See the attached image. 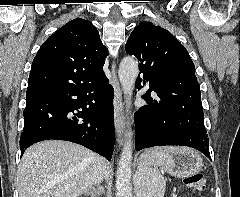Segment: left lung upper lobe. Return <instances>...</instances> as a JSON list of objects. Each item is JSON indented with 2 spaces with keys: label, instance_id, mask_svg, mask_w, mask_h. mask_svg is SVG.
Returning <instances> with one entry per match:
<instances>
[{
  "label": "left lung upper lobe",
  "instance_id": "obj_1",
  "mask_svg": "<svg viewBox=\"0 0 240 197\" xmlns=\"http://www.w3.org/2000/svg\"><path fill=\"white\" fill-rule=\"evenodd\" d=\"M125 49L138 59L140 73L156 93L199 90L195 66L187 50L166 29L142 22L131 33Z\"/></svg>",
  "mask_w": 240,
  "mask_h": 197
}]
</instances>
